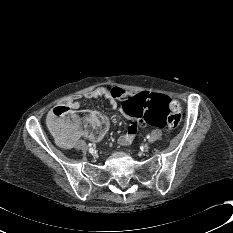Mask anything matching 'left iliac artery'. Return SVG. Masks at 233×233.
I'll return each instance as SVG.
<instances>
[{"mask_svg": "<svg viewBox=\"0 0 233 233\" xmlns=\"http://www.w3.org/2000/svg\"><path fill=\"white\" fill-rule=\"evenodd\" d=\"M146 138H147V139H150V135H147Z\"/></svg>", "mask_w": 233, "mask_h": 233, "instance_id": "44dca946", "label": "left iliac artery"}]
</instances>
